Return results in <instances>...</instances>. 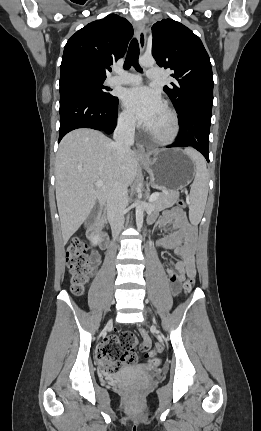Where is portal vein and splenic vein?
<instances>
[{
    "label": "portal vein and splenic vein",
    "instance_id": "18ae733b",
    "mask_svg": "<svg viewBox=\"0 0 261 431\" xmlns=\"http://www.w3.org/2000/svg\"><path fill=\"white\" fill-rule=\"evenodd\" d=\"M95 186L96 187H98V188H100V187H102L103 186V182H101V181H97L96 183H95ZM158 196H159V193H154V194H152L150 197H149V202L150 203H152V202H154L157 198H158Z\"/></svg>",
    "mask_w": 261,
    "mask_h": 431
}]
</instances>
